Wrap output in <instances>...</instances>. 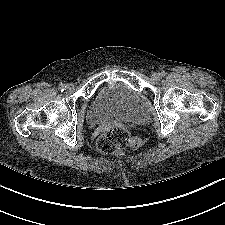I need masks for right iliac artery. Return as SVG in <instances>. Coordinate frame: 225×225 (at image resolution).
<instances>
[{"label": "right iliac artery", "instance_id": "82829eb1", "mask_svg": "<svg viewBox=\"0 0 225 225\" xmlns=\"http://www.w3.org/2000/svg\"><path fill=\"white\" fill-rule=\"evenodd\" d=\"M65 87H66L65 84L61 83L59 84L58 89L62 92L64 91Z\"/></svg>", "mask_w": 225, "mask_h": 225}]
</instances>
